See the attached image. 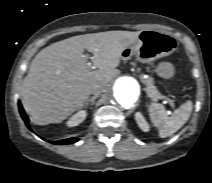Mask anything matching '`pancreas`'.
Wrapping results in <instances>:
<instances>
[{
	"instance_id": "obj_1",
	"label": "pancreas",
	"mask_w": 212,
	"mask_h": 183,
	"mask_svg": "<svg viewBox=\"0 0 212 183\" xmlns=\"http://www.w3.org/2000/svg\"><path fill=\"white\" fill-rule=\"evenodd\" d=\"M145 86H146V92L147 95L153 100V101H157L159 99V97L161 96V94L159 93V91L157 90L156 86L153 83V79L151 77H149L148 79H146L144 81Z\"/></svg>"
}]
</instances>
